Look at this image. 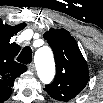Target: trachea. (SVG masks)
<instances>
[{
	"label": "trachea",
	"instance_id": "3493384b",
	"mask_svg": "<svg viewBox=\"0 0 103 103\" xmlns=\"http://www.w3.org/2000/svg\"><path fill=\"white\" fill-rule=\"evenodd\" d=\"M17 61L23 64H28L32 61V50L30 47H24L19 54Z\"/></svg>",
	"mask_w": 103,
	"mask_h": 103
}]
</instances>
